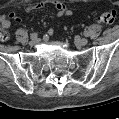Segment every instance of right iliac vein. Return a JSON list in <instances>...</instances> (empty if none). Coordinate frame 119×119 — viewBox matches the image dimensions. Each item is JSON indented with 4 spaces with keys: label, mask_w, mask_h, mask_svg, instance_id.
I'll return each mask as SVG.
<instances>
[{
    "label": "right iliac vein",
    "mask_w": 119,
    "mask_h": 119,
    "mask_svg": "<svg viewBox=\"0 0 119 119\" xmlns=\"http://www.w3.org/2000/svg\"><path fill=\"white\" fill-rule=\"evenodd\" d=\"M37 43H38V39L35 38V39H32V40L29 42V45H30V46H34V45H36Z\"/></svg>",
    "instance_id": "63e3f726"
}]
</instances>
